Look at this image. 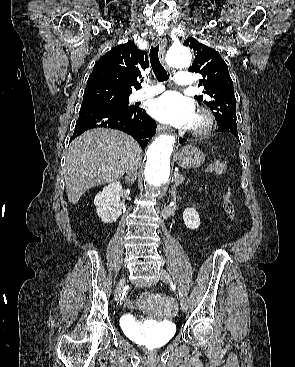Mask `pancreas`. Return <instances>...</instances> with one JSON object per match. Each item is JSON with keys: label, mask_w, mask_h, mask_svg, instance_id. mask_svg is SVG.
<instances>
[{"label": "pancreas", "mask_w": 295, "mask_h": 367, "mask_svg": "<svg viewBox=\"0 0 295 367\" xmlns=\"http://www.w3.org/2000/svg\"><path fill=\"white\" fill-rule=\"evenodd\" d=\"M185 178L182 176V175H177L175 176V179H174V182H175V185H179L181 184L182 182H184Z\"/></svg>", "instance_id": "obj_1"}]
</instances>
